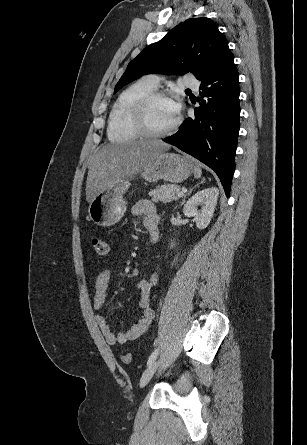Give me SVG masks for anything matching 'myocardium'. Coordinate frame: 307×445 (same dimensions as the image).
Returning a JSON list of instances; mask_svg holds the SVG:
<instances>
[{"mask_svg": "<svg viewBox=\"0 0 307 445\" xmlns=\"http://www.w3.org/2000/svg\"><path fill=\"white\" fill-rule=\"evenodd\" d=\"M158 99H163L167 101L169 100L168 96L165 93L160 92L159 90H153L152 92L147 94L141 101H139V103L136 106L135 110L136 119L139 128L141 130V133L146 136L143 139H158L160 137H168L171 134H173L179 126L180 123L179 116H176L172 125L164 131L160 132L154 131L149 126L147 112L151 103Z\"/></svg>", "mask_w": 307, "mask_h": 445, "instance_id": "myocardium-1", "label": "myocardium"}]
</instances>
